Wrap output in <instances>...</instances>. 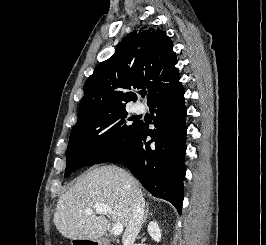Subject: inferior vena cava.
Instances as JSON below:
<instances>
[{
    "label": "inferior vena cava",
    "instance_id": "602c4592",
    "mask_svg": "<svg viewBox=\"0 0 266 245\" xmlns=\"http://www.w3.org/2000/svg\"><path fill=\"white\" fill-rule=\"evenodd\" d=\"M145 203L140 189H132L130 201V219L122 237V245H134L142 227Z\"/></svg>",
    "mask_w": 266,
    "mask_h": 245
}]
</instances>
